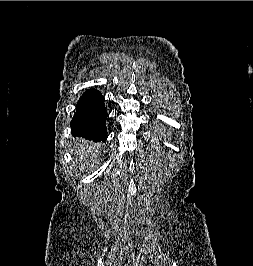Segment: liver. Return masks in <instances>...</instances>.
Returning <instances> with one entry per match:
<instances>
[{
	"label": "liver",
	"mask_w": 253,
	"mask_h": 266,
	"mask_svg": "<svg viewBox=\"0 0 253 266\" xmlns=\"http://www.w3.org/2000/svg\"><path fill=\"white\" fill-rule=\"evenodd\" d=\"M95 150V146L87 141H83L82 144H78L77 147L74 150V156L76 159H78L80 162H89V157L93 154V151Z\"/></svg>",
	"instance_id": "1"
}]
</instances>
